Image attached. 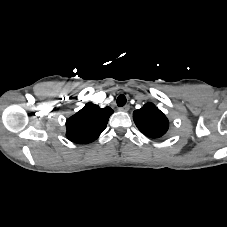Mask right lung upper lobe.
Returning a JSON list of instances; mask_svg holds the SVG:
<instances>
[{"label":"right lung upper lobe","mask_w":227,"mask_h":227,"mask_svg":"<svg viewBox=\"0 0 227 227\" xmlns=\"http://www.w3.org/2000/svg\"><path fill=\"white\" fill-rule=\"evenodd\" d=\"M113 114L110 107L100 108L91 102L66 121L67 138L78 144L95 141L106 128Z\"/></svg>","instance_id":"right-lung-upper-lobe-1"}]
</instances>
